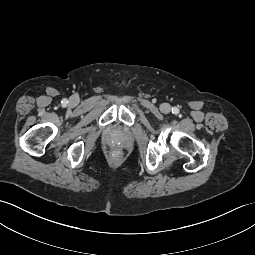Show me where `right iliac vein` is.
<instances>
[{
  "mask_svg": "<svg viewBox=\"0 0 255 255\" xmlns=\"http://www.w3.org/2000/svg\"><path fill=\"white\" fill-rule=\"evenodd\" d=\"M78 102V99L76 97H73L70 99L71 104H76Z\"/></svg>",
  "mask_w": 255,
  "mask_h": 255,
  "instance_id": "63e3f726",
  "label": "right iliac vein"
}]
</instances>
